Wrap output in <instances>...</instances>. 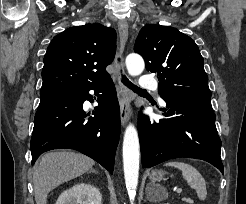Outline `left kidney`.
<instances>
[{
	"label": "left kidney",
	"instance_id": "1",
	"mask_svg": "<svg viewBox=\"0 0 246 204\" xmlns=\"http://www.w3.org/2000/svg\"><path fill=\"white\" fill-rule=\"evenodd\" d=\"M163 204H171V203H168V202H167V203H163Z\"/></svg>",
	"mask_w": 246,
	"mask_h": 204
}]
</instances>
